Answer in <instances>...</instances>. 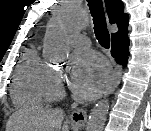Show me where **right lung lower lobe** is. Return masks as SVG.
<instances>
[{
  "mask_svg": "<svg viewBox=\"0 0 151 131\" xmlns=\"http://www.w3.org/2000/svg\"><path fill=\"white\" fill-rule=\"evenodd\" d=\"M128 46H129L128 38L112 42L111 54L115 58V60L118 63L122 64L123 66L126 65L128 60L129 56Z\"/></svg>",
  "mask_w": 151,
  "mask_h": 131,
  "instance_id": "obj_1",
  "label": "right lung lower lobe"
}]
</instances>
